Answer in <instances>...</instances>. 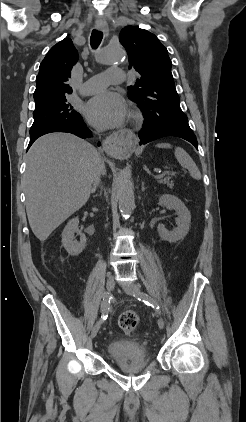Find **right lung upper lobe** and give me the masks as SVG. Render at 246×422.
<instances>
[{"instance_id":"1","label":"right lung upper lobe","mask_w":246,"mask_h":422,"mask_svg":"<svg viewBox=\"0 0 246 422\" xmlns=\"http://www.w3.org/2000/svg\"><path fill=\"white\" fill-rule=\"evenodd\" d=\"M77 61V50L69 38L63 39L49 50L36 77L35 109L72 93L68 80Z\"/></svg>"}]
</instances>
